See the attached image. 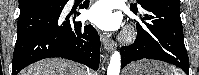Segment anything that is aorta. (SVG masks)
Listing matches in <instances>:
<instances>
[{
	"mask_svg": "<svg viewBox=\"0 0 199 75\" xmlns=\"http://www.w3.org/2000/svg\"><path fill=\"white\" fill-rule=\"evenodd\" d=\"M120 65H121L120 53L115 51L110 58V63L107 69V75H119Z\"/></svg>",
	"mask_w": 199,
	"mask_h": 75,
	"instance_id": "aorta-1",
	"label": "aorta"
}]
</instances>
